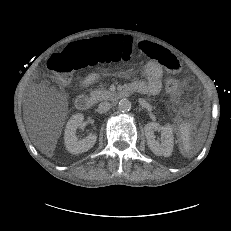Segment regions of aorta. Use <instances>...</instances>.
<instances>
[{"instance_id":"1","label":"aorta","mask_w":231,"mask_h":231,"mask_svg":"<svg viewBox=\"0 0 231 231\" xmlns=\"http://www.w3.org/2000/svg\"><path fill=\"white\" fill-rule=\"evenodd\" d=\"M118 108L122 112H128L131 109V102L126 98L121 99L118 103Z\"/></svg>"}]
</instances>
